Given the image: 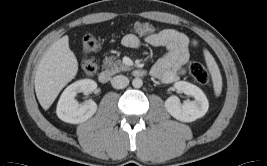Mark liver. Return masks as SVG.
<instances>
[{
    "instance_id": "liver-1",
    "label": "liver",
    "mask_w": 267,
    "mask_h": 166,
    "mask_svg": "<svg viewBox=\"0 0 267 166\" xmlns=\"http://www.w3.org/2000/svg\"><path fill=\"white\" fill-rule=\"evenodd\" d=\"M78 62L68 36L54 42L43 55L35 74V92L43 109L53 104L60 91L76 76Z\"/></svg>"
}]
</instances>
